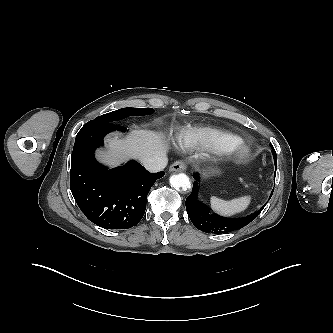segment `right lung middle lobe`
I'll return each mask as SVG.
<instances>
[{"mask_svg": "<svg viewBox=\"0 0 333 333\" xmlns=\"http://www.w3.org/2000/svg\"><path fill=\"white\" fill-rule=\"evenodd\" d=\"M154 110L152 108H122L101 116L96 117L91 122H100V123H111L124 119L128 116H141L152 114Z\"/></svg>", "mask_w": 333, "mask_h": 333, "instance_id": "right-lung-middle-lobe-1", "label": "right lung middle lobe"}]
</instances>
